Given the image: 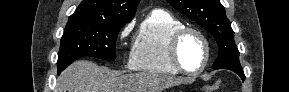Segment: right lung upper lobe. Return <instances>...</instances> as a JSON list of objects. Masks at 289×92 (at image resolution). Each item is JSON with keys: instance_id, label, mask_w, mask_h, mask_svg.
Returning a JSON list of instances; mask_svg holds the SVG:
<instances>
[{"instance_id": "right-lung-upper-lobe-1", "label": "right lung upper lobe", "mask_w": 289, "mask_h": 92, "mask_svg": "<svg viewBox=\"0 0 289 92\" xmlns=\"http://www.w3.org/2000/svg\"><path fill=\"white\" fill-rule=\"evenodd\" d=\"M140 0H83L68 23L125 24L136 12Z\"/></svg>"}]
</instances>
